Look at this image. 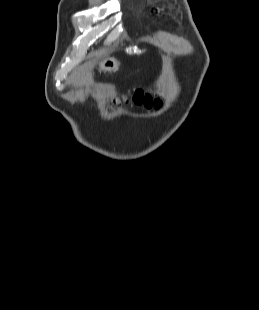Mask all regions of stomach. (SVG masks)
I'll use <instances>...</instances> for the list:
<instances>
[{"mask_svg": "<svg viewBox=\"0 0 259 310\" xmlns=\"http://www.w3.org/2000/svg\"><path fill=\"white\" fill-rule=\"evenodd\" d=\"M119 65V62L111 57H107L98 63L100 70L103 71H116L118 70Z\"/></svg>", "mask_w": 259, "mask_h": 310, "instance_id": "stomach-1", "label": "stomach"}]
</instances>
